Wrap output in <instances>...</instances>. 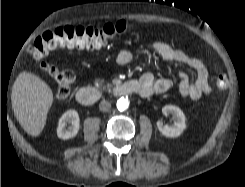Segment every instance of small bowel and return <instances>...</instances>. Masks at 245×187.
Masks as SVG:
<instances>
[{"label":"small bowel","mask_w":245,"mask_h":187,"mask_svg":"<svg viewBox=\"0 0 245 187\" xmlns=\"http://www.w3.org/2000/svg\"><path fill=\"white\" fill-rule=\"evenodd\" d=\"M151 47L164 60L185 64L196 72L194 79L185 72H177L178 88L182 98L197 100L211 93L208 70L201 60L174 48L162 40L153 41ZM132 59L133 55L127 49L119 51L116 56V62L119 65H128ZM139 82L143 88L141 94L143 97L165 93L172 87L170 79L166 77L155 78L151 73H144L139 78Z\"/></svg>","instance_id":"c3829d8e"}]
</instances>
